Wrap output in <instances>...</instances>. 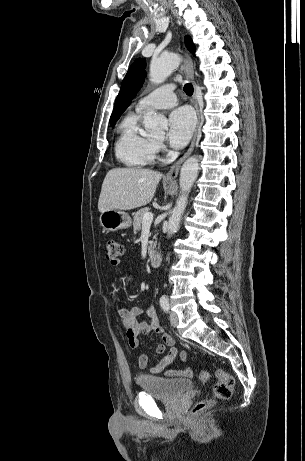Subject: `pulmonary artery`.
Wrapping results in <instances>:
<instances>
[{
	"instance_id": "pulmonary-artery-1",
	"label": "pulmonary artery",
	"mask_w": 305,
	"mask_h": 461,
	"mask_svg": "<svg viewBox=\"0 0 305 461\" xmlns=\"http://www.w3.org/2000/svg\"><path fill=\"white\" fill-rule=\"evenodd\" d=\"M174 89L175 85L169 83L152 90L139 99L136 104V111L142 112L151 108H171L175 106L177 97Z\"/></svg>"
}]
</instances>
